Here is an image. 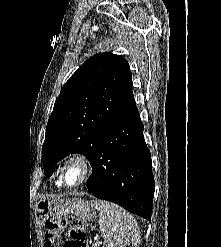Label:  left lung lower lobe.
I'll return each instance as SVG.
<instances>
[{
    "instance_id": "left-lung-lower-lobe-1",
    "label": "left lung lower lobe",
    "mask_w": 221,
    "mask_h": 247,
    "mask_svg": "<svg viewBox=\"0 0 221 247\" xmlns=\"http://www.w3.org/2000/svg\"><path fill=\"white\" fill-rule=\"evenodd\" d=\"M143 129L138 111L111 123L91 160L86 186L93 196L150 221L155 184Z\"/></svg>"
}]
</instances>
